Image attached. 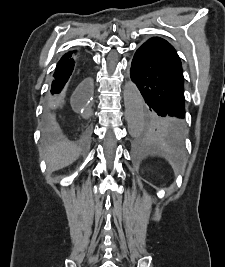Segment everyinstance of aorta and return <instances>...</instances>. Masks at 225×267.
Here are the masks:
<instances>
[{"mask_svg":"<svg viewBox=\"0 0 225 267\" xmlns=\"http://www.w3.org/2000/svg\"><path fill=\"white\" fill-rule=\"evenodd\" d=\"M123 95L129 133L131 136H137L144 125L145 104L143 97L132 82L125 84Z\"/></svg>","mask_w":225,"mask_h":267,"instance_id":"1","label":"aorta"}]
</instances>
